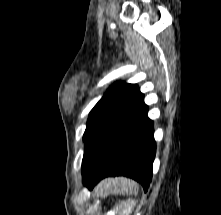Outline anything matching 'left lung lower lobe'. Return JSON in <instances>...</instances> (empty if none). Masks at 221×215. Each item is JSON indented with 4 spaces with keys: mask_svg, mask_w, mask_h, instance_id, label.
Here are the masks:
<instances>
[{
    "mask_svg": "<svg viewBox=\"0 0 221 215\" xmlns=\"http://www.w3.org/2000/svg\"><path fill=\"white\" fill-rule=\"evenodd\" d=\"M142 95L112 124L83 184L90 190L108 176L132 178L146 192L152 178L156 153L153 121Z\"/></svg>",
    "mask_w": 221,
    "mask_h": 215,
    "instance_id": "left-lung-lower-lobe-1",
    "label": "left lung lower lobe"
}]
</instances>
